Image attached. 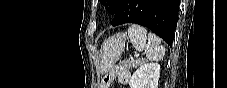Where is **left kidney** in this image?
I'll return each instance as SVG.
<instances>
[{
	"label": "left kidney",
	"instance_id": "1",
	"mask_svg": "<svg viewBox=\"0 0 227 88\" xmlns=\"http://www.w3.org/2000/svg\"><path fill=\"white\" fill-rule=\"evenodd\" d=\"M160 78V65L158 63H145L132 75L130 88H158Z\"/></svg>",
	"mask_w": 227,
	"mask_h": 88
}]
</instances>
